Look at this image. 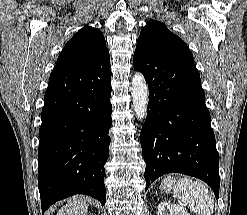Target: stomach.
<instances>
[{
	"label": "stomach",
	"instance_id": "0dacf381",
	"mask_svg": "<svg viewBox=\"0 0 247 215\" xmlns=\"http://www.w3.org/2000/svg\"><path fill=\"white\" fill-rule=\"evenodd\" d=\"M174 181L172 178L168 177L162 181L161 188L165 192H170L174 188Z\"/></svg>",
	"mask_w": 247,
	"mask_h": 215
}]
</instances>
